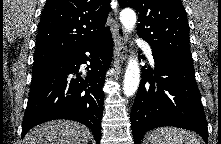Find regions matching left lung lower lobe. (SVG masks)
<instances>
[{
  "label": "left lung lower lobe",
  "mask_w": 221,
  "mask_h": 144,
  "mask_svg": "<svg viewBox=\"0 0 221 144\" xmlns=\"http://www.w3.org/2000/svg\"><path fill=\"white\" fill-rule=\"evenodd\" d=\"M155 70L143 69V79L131 109L135 144L145 132L176 126L197 132L207 143V121L192 62L153 51Z\"/></svg>",
  "instance_id": "1"
}]
</instances>
